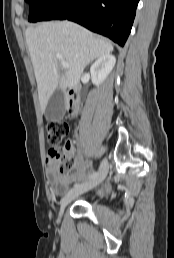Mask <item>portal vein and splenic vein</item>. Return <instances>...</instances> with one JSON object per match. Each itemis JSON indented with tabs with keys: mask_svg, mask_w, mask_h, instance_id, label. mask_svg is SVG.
<instances>
[{
	"mask_svg": "<svg viewBox=\"0 0 174 258\" xmlns=\"http://www.w3.org/2000/svg\"><path fill=\"white\" fill-rule=\"evenodd\" d=\"M56 57H57L58 60L61 61V65H62V67H63L64 69H68V68H69V64L66 63V62L62 59V56L57 55Z\"/></svg>",
	"mask_w": 174,
	"mask_h": 258,
	"instance_id": "1",
	"label": "portal vein and splenic vein"
}]
</instances>
